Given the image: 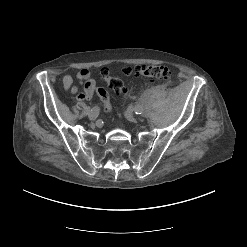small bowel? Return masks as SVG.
<instances>
[{
    "mask_svg": "<svg viewBox=\"0 0 247 247\" xmlns=\"http://www.w3.org/2000/svg\"><path fill=\"white\" fill-rule=\"evenodd\" d=\"M76 77L83 87V92L77 95V99L79 101L90 100L96 89V83L90 71L88 69H81L78 71ZM62 84L65 90L70 93L76 94L78 92V87L73 85V77L71 75H65L62 79Z\"/></svg>",
    "mask_w": 247,
    "mask_h": 247,
    "instance_id": "c3829d8e",
    "label": "small bowel"
}]
</instances>
